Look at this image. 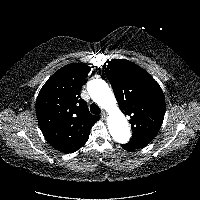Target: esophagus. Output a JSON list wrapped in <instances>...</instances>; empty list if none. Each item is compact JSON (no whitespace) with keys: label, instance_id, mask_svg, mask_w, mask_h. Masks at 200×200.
I'll list each match as a JSON object with an SVG mask.
<instances>
[{"label":"esophagus","instance_id":"34e87169","mask_svg":"<svg viewBox=\"0 0 200 200\" xmlns=\"http://www.w3.org/2000/svg\"><path fill=\"white\" fill-rule=\"evenodd\" d=\"M106 117H107V113H106V112H102V113H101V118H102V119H106Z\"/></svg>","mask_w":200,"mask_h":200}]
</instances>
